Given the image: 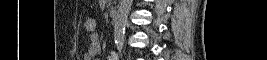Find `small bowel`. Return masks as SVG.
<instances>
[{
    "label": "small bowel",
    "instance_id": "obj_1",
    "mask_svg": "<svg viewBox=\"0 0 267 60\" xmlns=\"http://www.w3.org/2000/svg\"><path fill=\"white\" fill-rule=\"evenodd\" d=\"M101 41L100 37L97 33H92L89 35V45L85 52V59L91 60L94 59L95 56L101 53ZM107 60H118V54L116 52H111L107 58Z\"/></svg>",
    "mask_w": 267,
    "mask_h": 60
}]
</instances>
